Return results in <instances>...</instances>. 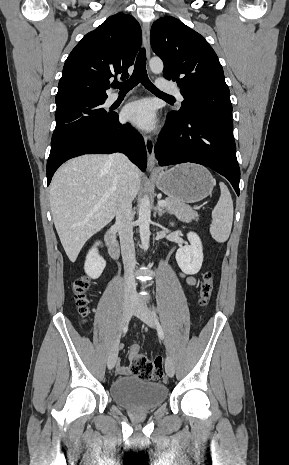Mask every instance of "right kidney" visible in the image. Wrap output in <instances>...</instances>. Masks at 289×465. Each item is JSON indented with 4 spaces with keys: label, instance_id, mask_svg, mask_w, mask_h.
<instances>
[{
    "label": "right kidney",
    "instance_id": "right-kidney-1",
    "mask_svg": "<svg viewBox=\"0 0 289 465\" xmlns=\"http://www.w3.org/2000/svg\"><path fill=\"white\" fill-rule=\"evenodd\" d=\"M96 245H98V243H96ZM105 266L106 261L99 255L96 246H94L86 256L84 266L86 274L92 279H97L102 274Z\"/></svg>",
    "mask_w": 289,
    "mask_h": 465
}]
</instances>
